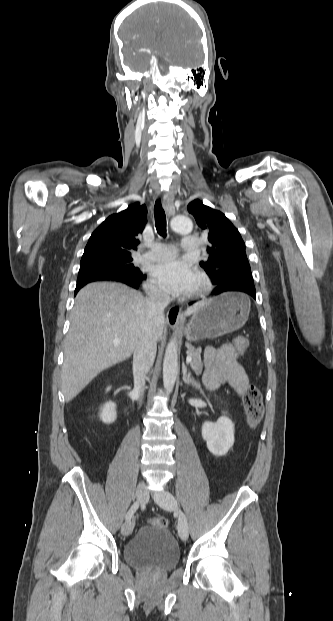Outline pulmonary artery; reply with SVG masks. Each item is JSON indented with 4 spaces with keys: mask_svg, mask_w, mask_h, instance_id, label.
I'll return each instance as SVG.
<instances>
[{
    "mask_svg": "<svg viewBox=\"0 0 333 621\" xmlns=\"http://www.w3.org/2000/svg\"><path fill=\"white\" fill-rule=\"evenodd\" d=\"M199 248V241L194 236H185L182 240V249L186 252H195ZM176 253V249L167 243H155L150 247V250L143 253L140 257L141 260L157 261L162 259H169Z\"/></svg>",
    "mask_w": 333,
    "mask_h": 621,
    "instance_id": "e3ab8cb5",
    "label": "pulmonary artery"
}]
</instances>
